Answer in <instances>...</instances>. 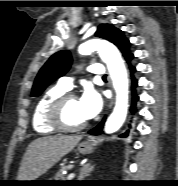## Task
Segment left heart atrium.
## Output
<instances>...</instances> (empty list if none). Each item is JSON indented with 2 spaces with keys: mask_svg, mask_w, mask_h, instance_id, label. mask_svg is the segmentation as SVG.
<instances>
[{
  "mask_svg": "<svg viewBox=\"0 0 178 186\" xmlns=\"http://www.w3.org/2000/svg\"><path fill=\"white\" fill-rule=\"evenodd\" d=\"M79 104L84 117L88 120L99 114L103 100L99 92L92 87H88L80 97Z\"/></svg>",
  "mask_w": 178,
  "mask_h": 186,
  "instance_id": "39dd6f15",
  "label": "left heart atrium"
}]
</instances>
